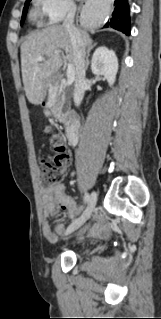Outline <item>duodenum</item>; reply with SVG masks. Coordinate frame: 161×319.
Segmentation results:
<instances>
[{
    "label": "duodenum",
    "mask_w": 161,
    "mask_h": 319,
    "mask_svg": "<svg viewBox=\"0 0 161 319\" xmlns=\"http://www.w3.org/2000/svg\"><path fill=\"white\" fill-rule=\"evenodd\" d=\"M43 107L45 110H49L50 105L45 103L43 104ZM78 135H79V124L78 121L73 119L66 124V137L68 140V143L70 145H75L78 141Z\"/></svg>",
    "instance_id": "obj_1"
}]
</instances>
